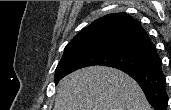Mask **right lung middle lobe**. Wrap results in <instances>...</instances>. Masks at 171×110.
Returning <instances> with one entry per match:
<instances>
[{
    "label": "right lung middle lobe",
    "instance_id": "dd1d6c3e",
    "mask_svg": "<svg viewBox=\"0 0 171 110\" xmlns=\"http://www.w3.org/2000/svg\"><path fill=\"white\" fill-rule=\"evenodd\" d=\"M159 58L132 48L103 42H92L65 48L55 70V84L67 74L87 66L103 65L119 70H142L155 65Z\"/></svg>",
    "mask_w": 171,
    "mask_h": 110
}]
</instances>
